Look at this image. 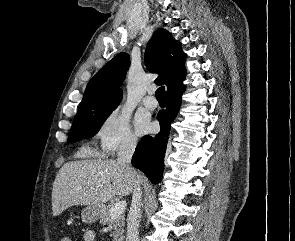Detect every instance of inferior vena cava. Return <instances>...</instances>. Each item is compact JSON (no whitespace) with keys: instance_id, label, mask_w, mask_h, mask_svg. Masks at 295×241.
<instances>
[{"instance_id":"602c4592","label":"inferior vena cava","mask_w":295,"mask_h":241,"mask_svg":"<svg viewBox=\"0 0 295 241\" xmlns=\"http://www.w3.org/2000/svg\"><path fill=\"white\" fill-rule=\"evenodd\" d=\"M136 148V139L132 136H127L120 144L117 163L124 166L132 177L136 176L135 171L130 166L133 153ZM141 188L138 181H134V189L132 195L131 208L127 218V235L126 241H139V213L141 207Z\"/></svg>"}]
</instances>
